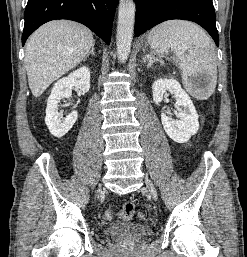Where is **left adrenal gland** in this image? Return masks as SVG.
Here are the masks:
<instances>
[{
    "label": "left adrenal gland",
    "mask_w": 247,
    "mask_h": 257,
    "mask_svg": "<svg viewBox=\"0 0 247 257\" xmlns=\"http://www.w3.org/2000/svg\"><path fill=\"white\" fill-rule=\"evenodd\" d=\"M146 60L148 61V64H147V68H150L153 63L155 62H160L162 65L164 64V61L158 59V58H154L152 54H148L145 58H144V62H146Z\"/></svg>",
    "instance_id": "left-adrenal-gland-1"
}]
</instances>
